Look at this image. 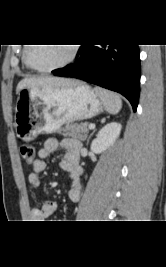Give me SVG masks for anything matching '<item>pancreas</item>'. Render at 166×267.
<instances>
[{
  "label": "pancreas",
  "mask_w": 166,
  "mask_h": 267,
  "mask_svg": "<svg viewBox=\"0 0 166 267\" xmlns=\"http://www.w3.org/2000/svg\"><path fill=\"white\" fill-rule=\"evenodd\" d=\"M88 123L82 122V123H70L66 124L64 128L60 129V132L63 134V136L66 137H75L80 140H85L88 135Z\"/></svg>",
  "instance_id": "obj_1"
}]
</instances>
